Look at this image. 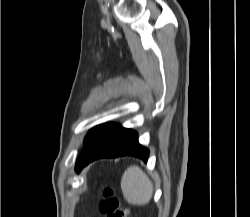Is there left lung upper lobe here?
Wrapping results in <instances>:
<instances>
[{
	"instance_id": "left-lung-upper-lobe-1",
	"label": "left lung upper lobe",
	"mask_w": 250,
	"mask_h": 217,
	"mask_svg": "<svg viewBox=\"0 0 250 217\" xmlns=\"http://www.w3.org/2000/svg\"><path fill=\"white\" fill-rule=\"evenodd\" d=\"M103 125L97 126L95 128H93L86 136L85 138V145L89 142V140L93 137V135L102 127Z\"/></svg>"
}]
</instances>
